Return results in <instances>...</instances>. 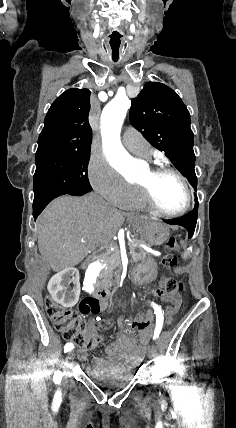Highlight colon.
<instances>
[{"label": "colon", "mask_w": 236, "mask_h": 428, "mask_svg": "<svg viewBox=\"0 0 236 428\" xmlns=\"http://www.w3.org/2000/svg\"><path fill=\"white\" fill-rule=\"evenodd\" d=\"M179 247L178 241L171 237L165 246V254L162 258V264L167 269H173L178 264L177 256L174 251ZM162 288L171 296L175 297L172 304L168 307L167 322L171 323L173 315L178 308L179 294L183 290V284L173 277H165L161 280ZM47 314L56 330H58L64 339L74 343L81 349H92L97 344V336L90 332L86 323L80 318L81 315L97 314L101 311L100 302L92 297L84 298L79 304V313L70 308H64L57 304L52 297L45 299ZM141 315H137L133 324L137 327L144 325Z\"/></svg>", "instance_id": "colon-1"}]
</instances>
